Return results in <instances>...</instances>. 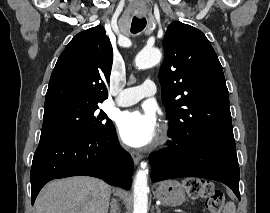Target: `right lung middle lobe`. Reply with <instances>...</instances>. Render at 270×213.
Listing matches in <instances>:
<instances>
[{"instance_id":"obj_1","label":"right lung middle lobe","mask_w":270,"mask_h":213,"mask_svg":"<svg viewBox=\"0 0 270 213\" xmlns=\"http://www.w3.org/2000/svg\"><path fill=\"white\" fill-rule=\"evenodd\" d=\"M97 103L64 101L44 108L41 135L56 133L71 136H98L112 127Z\"/></svg>"}]
</instances>
